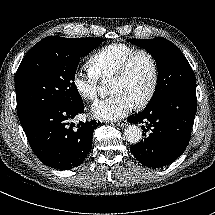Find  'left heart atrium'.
<instances>
[{
    "mask_svg": "<svg viewBox=\"0 0 215 215\" xmlns=\"http://www.w3.org/2000/svg\"><path fill=\"white\" fill-rule=\"evenodd\" d=\"M134 104L123 93H115L107 99L93 104L91 112L95 118L101 120H118L130 113Z\"/></svg>",
    "mask_w": 215,
    "mask_h": 215,
    "instance_id": "1",
    "label": "left heart atrium"
}]
</instances>
